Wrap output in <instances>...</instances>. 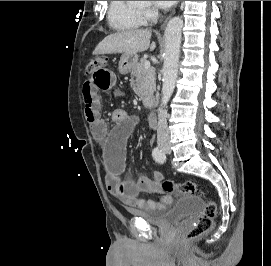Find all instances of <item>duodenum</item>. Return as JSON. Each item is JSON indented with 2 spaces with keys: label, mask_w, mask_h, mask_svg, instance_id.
<instances>
[{
  "label": "duodenum",
  "mask_w": 271,
  "mask_h": 266,
  "mask_svg": "<svg viewBox=\"0 0 271 266\" xmlns=\"http://www.w3.org/2000/svg\"><path fill=\"white\" fill-rule=\"evenodd\" d=\"M145 102H146L147 105L153 107V106L155 105V98L149 96V97H147V98L145 99Z\"/></svg>",
  "instance_id": "410a0bca"
}]
</instances>
